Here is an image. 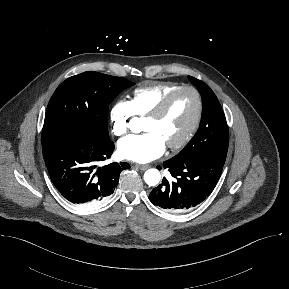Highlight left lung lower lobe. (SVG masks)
I'll return each mask as SVG.
<instances>
[{"instance_id": "1", "label": "left lung lower lobe", "mask_w": 289, "mask_h": 289, "mask_svg": "<svg viewBox=\"0 0 289 289\" xmlns=\"http://www.w3.org/2000/svg\"><path fill=\"white\" fill-rule=\"evenodd\" d=\"M226 154L202 153L187 160L165 161L172 181L163 178L162 184L154 188L149 199L169 212L191 210L203 202L213 191L221 175ZM162 169L161 166H157Z\"/></svg>"}]
</instances>
